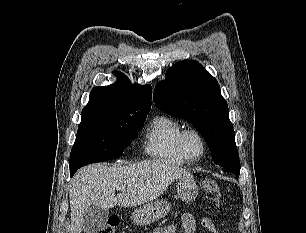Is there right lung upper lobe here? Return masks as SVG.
I'll return each instance as SVG.
<instances>
[{
	"instance_id": "right-lung-upper-lobe-1",
	"label": "right lung upper lobe",
	"mask_w": 306,
	"mask_h": 233,
	"mask_svg": "<svg viewBox=\"0 0 306 233\" xmlns=\"http://www.w3.org/2000/svg\"><path fill=\"white\" fill-rule=\"evenodd\" d=\"M119 81L92 89L83 111L106 110L129 114L149 113L152 88L150 85L132 84L123 73L114 71Z\"/></svg>"
}]
</instances>
